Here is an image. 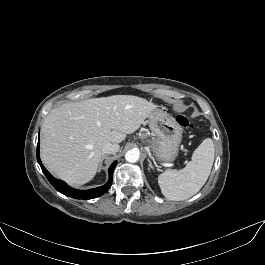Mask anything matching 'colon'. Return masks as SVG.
<instances>
[{"label": "colon", "instance_id": "1", "mask_svg": "<svg viewBox=\"0 0 265 265\" xmlns=\"http://www.w3.org/2000/svg\"><path fill=\"white\" fill-rule=\"evenodd\" d=\"M177 121L183 127H192V122L186 115H179Z\"/></svg>", "mask_w": 265, "mask_h": 265}]
</instances>
